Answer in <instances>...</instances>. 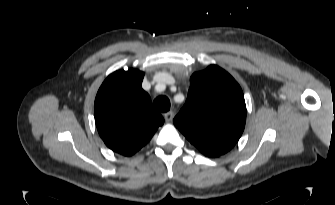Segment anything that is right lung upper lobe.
Wrapping results in <instances>:
<instances>
[{
  "label": "right lung upper lobe",
  "mask_w": 335,
  "mask_h": 205,
  "mask_svg": "<svg viewBox=\"0 0 335 205\" xmlns=\"http://www.w3.org/2000/svg\"><path fill=\"white\" fill-rule=\"evenodd\" d=\"M144 73L130 69L110 74L95 98L94 115L100 137L111 150L131 156L146 145L163 117L142 89Z\"/></svg>",
  "instance_id": "right-lung-upper-lobe-1"
}]
</instances>
